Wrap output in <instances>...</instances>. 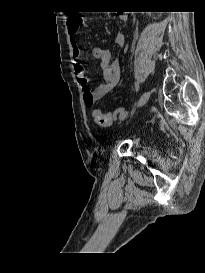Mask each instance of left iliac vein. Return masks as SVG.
Masks as SVG:
<instances>
[{
	"label": "left iliac vein",
	"instance_id": "obj_1",
	"mask_svg": "<svg viewBox=\"0 0 205 273\" xmlns=\"http://www.w3.org/2000/svg\"><path fill=\"white\" fill-rule=\"evenodd\" d=\"M149 97H150V92H149V91H145V92L141 95V97H140V99H139V101H138V103H137V108H140V107H142L143 105H145V104L147 103V101L149 100Z\"/></svg>",
	"mask_w": 205,
	"mask_h": 273
}]
</instances>
